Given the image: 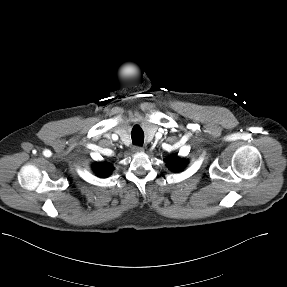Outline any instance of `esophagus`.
<instances>
[{
	"instance_id": "esophagus-1",
	"label": "esophagus",
	"mask_w": 287,
	"mask_h": 287,
	"mask_svg": "<svg viewBox=\"0 0 287 287\" xmlns=\"http://www.w3.org/2000/svg\"><path fill=\"white\" fill-rule=\"evenodd\" d=\"M142 151H143V148L141 146H138V145H136L132 148L133 153H140Z\"/></svg>"
}]
</instances>
